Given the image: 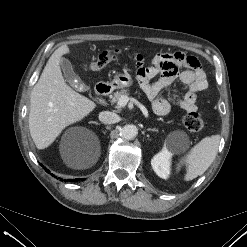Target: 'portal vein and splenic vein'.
Listing matches in <instances>:
<instances>
[{"mask_svg": "<svg viewBox=\"0 0 247 247\" xmlns=\"http://www.w3.org/2000/svg\"><path fill=\"white\" fill-rule=\"evenodd\" d=\"M132 102L134 104H136L140 110L142 111V113L144 114V116L147 118L148 117V111L146 109V107L144 105H142L138 100L134 99V98H129L128 96H121L117 102L118 107H124L127 105L128 102Z\"/></svg>", "mask_w": 247, "mask_h": 247, "instance_id": "obj_1", "label": "portal vein and splenic vein"}]
</instances>
